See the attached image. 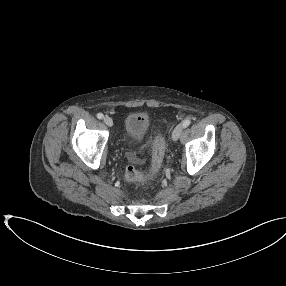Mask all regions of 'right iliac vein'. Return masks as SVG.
Masks as SVG:
<instances>
[{
    "instance_id": "right-iliac-vein-1",
    "label": "right iliac vein",
    "mask_w": 286,
    "mask_h": 286,
    "mask_svg": "<svg viewBox=\"0 0 286 286\" xmlns=\"http://www.w3.org/2000/svg\"><path fill=\"white\" fill-rule=\"evenodd\" d=\"M104 123L109 126V127H112L113 126V120L111 117L109 116H105L104 117Z\"/></svg>"
}]
</instances>
